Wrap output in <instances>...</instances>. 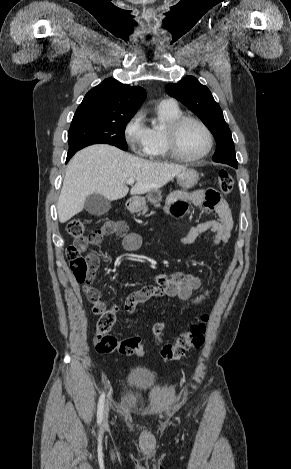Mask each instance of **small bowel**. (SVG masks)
Listing matches in <instances>:
<instances>
[{"mask_svg": "<svg viewBox=\"0 0 291 469\" xmlns=\"http://www.w3.org/2000/svg\"><path fill=\"white\" fill-rule=\"evenodd\" d=\"M188 203H192L194 206H203L214 212L218 218L206 220L193 226L185 236L180 237L179 241L182 244L194 243L205 232L213 234V245L228 242L233 229V218L227 202L215 190L205 189L190 193L176 191L168 198L166 212L174 218H181L186 212ZM100 230L102 237L111 234L119 237L123 248L127 251H135L141 247L142 238L140 234L130 232L127 224L123 221H108L103 224ZM100 240L91 244L97 245ZM88 258L97 268L100 262L99 256L90 254ZM156 281L157 284L155 286H145L127 296L124 307L129 314L135 313L138 304L153 297L167 296L176 298L185 304L199 305L209 295V292H205L196 298H192L193 292L198 290L201 285L200 278L193 273L175 272L171 275L159 274ZM97 294L99 301L92 303L95 314H97L99 308H106L101 294L98 291Z\"/></svg>", "mask_w": 291, "mask_h": 469, "instance_id": "1", "label": "small bowel"}]
</instances>
